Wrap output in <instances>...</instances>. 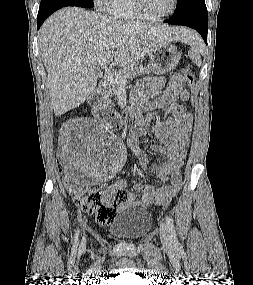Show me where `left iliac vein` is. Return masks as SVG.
<instances>
[{
	"label": "left iliac vein",
	"instance_id": "obj_1",
	"mask_svg": "<svg viewBox=\"0 0 253 285\" xmlns=\"http://www.w3.org/2000/svg\"><path fill=\"white\" fill-rule=\"evenodd\" d=\"M160 238L163 246L166 249H170L172 247L170 233L167 226L164 223L160 225Z\"/></svg>",
	"mask_w": 253,
	"mask_h": 285
}]
</instances>
